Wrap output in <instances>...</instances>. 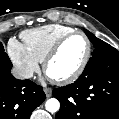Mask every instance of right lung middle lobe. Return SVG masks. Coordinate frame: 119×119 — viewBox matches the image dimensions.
<instances>
[{
  "mask_svg": "<svg viewBox=\"0 0 119 119\" xmlns=\"http://www.w3.org/2000/svg\"><path fill=\"white\" fill-rule=\"evenodd\" d=\"M0 66L12 68V63L8 55L4 52V47L0 42Z\"/></svg>",
  "mask_w": 119,
  "mask_h": 119,
  "instance_id": "obj_1",
  "label": "right lung middle lobe"
}]
</instances>
